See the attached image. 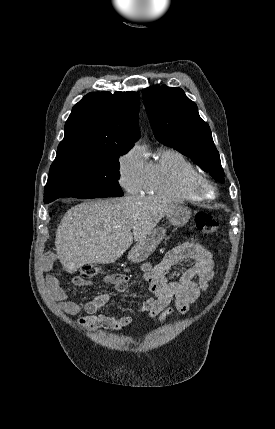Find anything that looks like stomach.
Masks as SVG:
<instances>
[{
    "mask_svg": "<svg viewBox=\"0 0 275 429\" xmlns=\"http://www.w3.org/2000/svg\"><path fill=\"white\" fill-rule=\"evenodd\" d=\"M191 211L184 205L177 207L167 214L169 223L176 227L184 226L190 219ZM166 235L163 227L155 228L147 237L138 241L128 253V259L132 262H141L156 249Z\"/></svg>",
    "mask_w": 275,
    "mask_h": 429,
    "instance_id": "obj_1",
    "label": "stomach"
}]
</instances>
